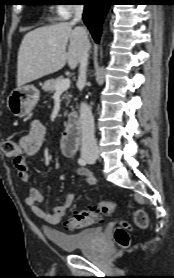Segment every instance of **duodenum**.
<instances>
[{"label":"duodenum","mask_w":174,"mask_h":278,"mask_svg":"<svg viewBox=\"0 0 174 278\" xmlns=\"http://www.w3.org/2000/svg\"><path fill=\"white\" fill-rule=\"evenodd\" d=\"M80 124L76 114L71 113L68 116V121L65 130L60 139V147L64 155H72L75 151V146L79 141Z\"/></svg>","instance_id":"1"}]
</instances>
